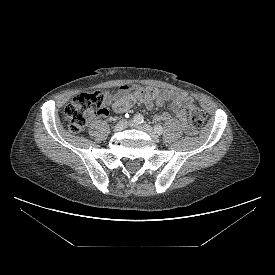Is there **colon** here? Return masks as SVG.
<instances>
[{
	"mask_svg": "<svg viewBox=\"0 0 275 275\" xmlns=\"http://www.w3.org/2000/svg\"><path fill=\"white\" fill-rule=\"evenodd\" d=\"M104 100V94L100 91L81 93L74 97L64 110L70 131L78 134L84 129L90 117L105 114ZM188 114L193 128H199L206 118L205 112L193 102L189 105Z\"/></svg>",
	"mask_w": 275,
	"mask_h": 275,
	"instance_id": "colon-1",
	"label": "colon"
}]
</instances>
